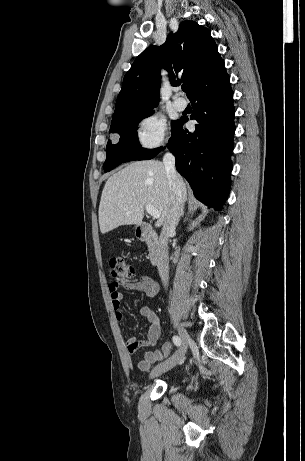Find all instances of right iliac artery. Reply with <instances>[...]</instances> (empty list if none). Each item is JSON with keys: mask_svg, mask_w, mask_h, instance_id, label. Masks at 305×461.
Returning a JSON list of instances; mask_svg holds the SVG:
<instances>
[{"mask_svg": "<svg viewBox=\"0 0 305 461\" xmlns=\"http://www.w3.org/2000/svg\"><path fill=\"white\" fill-rule=\"evenodd\" d=\"M172 340H173V342H174V344H175L176 346H180V345H181V339H180V337H178V336H173Z\"/></svg>", "mask_w": 305, "mask_h": 461, "instance_id": "right-iliac-artery-1", "label": "right iliac artery"}]
</instances>
